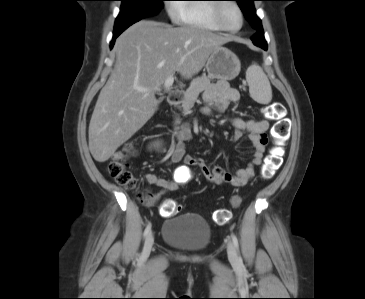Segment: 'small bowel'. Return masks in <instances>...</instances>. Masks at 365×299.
Returning a JSON list of instances; mask_svg holds the SVG:
<instances>
[{"mask_svg": "<svg viewBox=\"0 0 365 299\" xmlns=\"http://www.w3.org/2000/svg\"><path fill=\"white\" fill-rule=\"evenodd\" d=\"M239 97V92L229 87L227 83L218 82L213 84L205 92L204 100L206 106L203 108V113L211 114L214 111H224L230 103L238 101ZM232 124L235 129L233 140L240 139L246 133L255 148L253 158L248 166L232 173L219 165H210L201 158L185 155L186 143L191 138L190 126L188 123L177 124V141L172 149L169 162L172 164L183 162V164L178 167L172 179L153 173L147 174V182L161 188L159 192L155 193L154 198L159 199L164 193L177 190L182 184L183 178L189 175L192 167L199 168L202 175L210 183H226L233 187H243L246 185L255 176V168L263 161L267 145L266 132L269 128V122L266 119H242L236 117L233 119Z\"/></svg>", "mask_w": 365, "mask_h": 299, "instance_id": "small-bowel-1", "label": "small bowel"}]
</instances>
